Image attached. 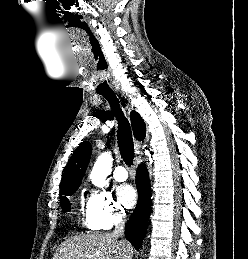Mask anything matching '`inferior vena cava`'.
I'll return each instance as SVG.
<instances>
[{
    "instance_id": "inferior-vena-cava-1",
    "label": "inferior vena cava",
    "mask_w": 248,
    "mask_h": 259,
    "mask_svg": "<svg viewBox=\"0 0 248 259\" xmlns=\"http://www.w3.org/2000/svg\"><path fill=\"white\" fill-rule=\"evenodd\" d=\"M115 229L113 235L116 237L123 236L124 234V226H125V219L122 214H117L115 217Z\"/></svg>"
}]
</instances>
